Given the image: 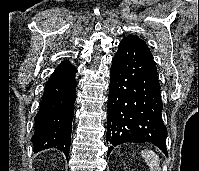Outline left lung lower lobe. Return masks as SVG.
<instances>
[{
    "instance_id": "left-lung-lower-lobe-1",
    "label": "left lung lower lobe",
    "mask_w": 199,
    "mask_h": 171,
    "mask_svg": "<svg viewBox=\"0 0 199 171\" xmlns=\"http://www.w3.org/2000/svg\"><path fill=\"white\" fill-rule=\"evenodd\" d=\"M153 57L127 40L112 59L108 96L107 156L122 143L151 142L167 155V130Z\"/></svg>"
}]
</instances>
